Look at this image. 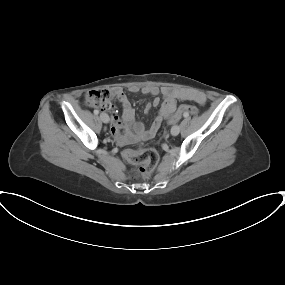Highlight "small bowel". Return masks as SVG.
Wrapping results in <instances>:
<instances>
[{"label":"small bowel","instance_id":"c3829d8e","mask_svg":"<svg viewBox=\"0 0 285 285\" xmlns=\"http://www.w3.org/2000/svg\"><path fill=\"white\" fill-rule=\"evenodd\" d=\"M130 92L139 91L137 86H131ZM142 93L154 97L152 102L145 105V112L148 113L152 107L160 106L157 116L149 128H146L142 122L135 121V110L132 107L127 95L120 87L111 89L114 97L119 101L122 107V117L112 114V134L117 137L121 144H130L138 141L149 140L153 138L161 127L162 123L168 119L176 110L177 100H187L199 105L206 103V96L197 91L177 90L168 87L159 88L155 85H147L141 89ZM163 94L161 101L159 94ZM123 132V133H121Z\"/></svg>","mask_w":285,"mask_h":285}]
</instances>
